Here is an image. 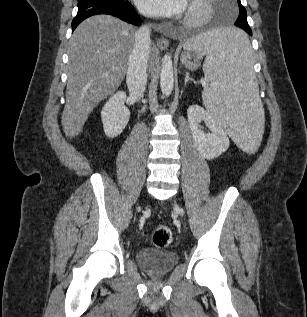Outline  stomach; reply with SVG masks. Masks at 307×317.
<instances>
[{
    "label": "stomach",
    "instance_id": "1",
    "mask_svg": "<svg viewBox=\"0 0 307 317\" xmlns=\"http://www.w3.org/2000/svg\"><path fill=\"white\" fill-rule=\"evenodd\" d=\"M181 62L191 71H194L198 67L197 59H193L189 53H184L181 57Z\"/></svg>",
    "mask_w": 307,
    "mask_h": 317
}]
</instances>
